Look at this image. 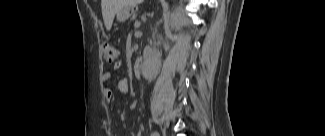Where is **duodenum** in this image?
I'll list each match as a JSON object with an SVG mask.
<instances>
[{
  "instance_id": "duodenum-1",
  "label": "duodenum",
  "mask_w": 325,
  "mask_h": 136,
  "mask_svg": "<svg viewBox=\"0 0 325 136\" xmlns=\"http://www.w3.org/2000/svg\"><path fill=\"white\" fill-rule=\"evenodd\" d=\"M143 72V59H137L133 66V73L135 76H140Z\"/></svg>"
}]
</instances>
